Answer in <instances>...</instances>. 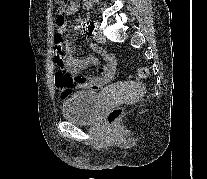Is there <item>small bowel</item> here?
<instances>
[{
	"label": "small bowel",
	"instance_id": "small-bowel-1",
	"mask_svg": "<svg viewBox=\"0 0 207 179\" xmlns=\"http://www.w3.org/2000/svg\"><path fill=\"white\" fill-rule=\"evenodd\" d=\"M77 7L78 5L76 1H70L66 5L64 12L56 19V32L60 33L61 35L65 34L67 29L65 17L74 14L77 10ZM91 48L93 51L100 54L104 61L103 65L99 67L98 71L91 76H84L80 72L90 64L99 66L100 62L98 57L95 55H90L83 59L77 58L71 55V50L69 47L65 48L66 53L68 54L66 61L69 71L72 76L77 78V87L82 90L101 89L105 85L113 82L116 77V58L114 54L107 52L95 44H92Z\"/></svg>",
	"mask_w": 207,
	"mask_h": 179
}]
</instances>
